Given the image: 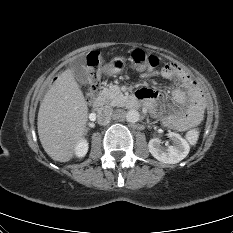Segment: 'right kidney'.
<instances>
[{"label": "right kidney", "instance_id": "right-kidney-1", "mask_svg": "<svg viewBox=\"0 0 233 233\" xmlns=\"http://www.w3.org/2000/svg\"><path fill=\"white\" fill-rule=\"evenodd\" d=\"M88 151V143L87 140L81 139L75 147V154L77 157L82 158L87 154Z\"/></svg>", "mask_w": 233, "mask_h": 233}]
</instances>
